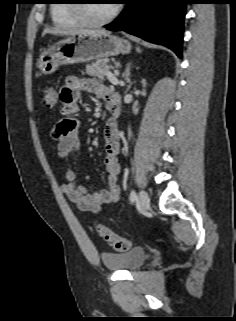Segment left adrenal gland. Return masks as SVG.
Wrapping results in <instances>:
<instances>
[{
  "mask_svg": "<svg viewBox=\"0 0 236 321\" xmlns=\"http://www.w3.org/2000/svg\"><path fill=\"white\" fill-rule=\"evenodd\" d=\"M130 66H131V64L130 63H128L127 64V67H126V69H125V72H124V77H125V80H126V82L128 83V85H127V89H126V92H128L129 91V89H130V87H131V80H130Z\"/></svg>",
  "mask_w": 236,
  "mask_h": 321,
  "instance_id": "1",
  "label": "left adrenal gland"
}]
</instances>
